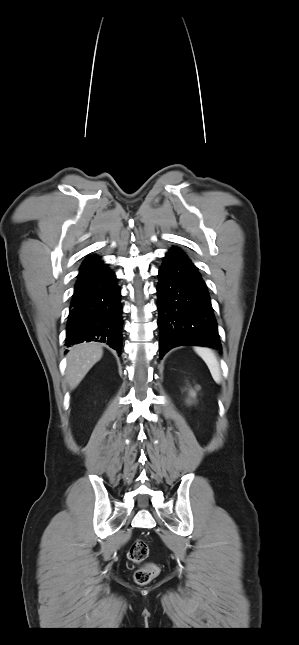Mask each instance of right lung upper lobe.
Masks as SVG:
<instances>
[{"mask_svg":"<svg viewBox=\"0 0 299 645\" xmlns=\"http://www.w3.org/2000/svg\"><path fill=\"white\" fill-rule=\"evenodd\" d=\"M95 258H97L95 255L89 256V257H87V258L83 261V263H82V264H85V263H87V262H90V261H92V260H93V259H95Z\"/></svg>","mask_w":299,"mask_h":645,"instance_id":"obj_1","label":"right lung upper lobe"}]
</instances>
